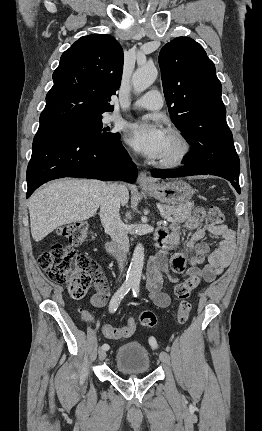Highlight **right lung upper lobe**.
<instances>
[{"mask_svg":"<svg viewBox=\"0 0 262 431\" xmlns=\"http://www.w3.org/2000/svg\"><path fill=\"white\" fill-rule=\"evenodd\" d=\"M123 71V50L110 35L81 37L66 50L53 73L40 126L111 112Z\"/></svg>","mask_w":262,"mask_h":431,"instance_id":"obj_1","label":"right lung upper lobe"}]
</instances>
